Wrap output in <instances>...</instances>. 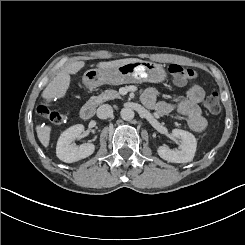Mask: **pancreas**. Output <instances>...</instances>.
I'll use <instances>...</instances> for the list:
<instances>
[{
  "label": "pancreas",
  "instance_id": "pancreas-1",
  "mask_svg": "<svg viewBox=\"0 0 245 245\" xmlns=\"http://www.w3.org/2000/svg\"><path fill=\"white\" fill-rule=\"evenodd\" d=\"M120 98H121V95L119 94V92H117L113 88H108L107 90H104L101 94H99L98 96H91L87 104L97 106L109 100L120 99Z\"/></svg>",
  "mask_w": 245,
  "mask_h": 245
}]
</instances>
